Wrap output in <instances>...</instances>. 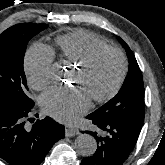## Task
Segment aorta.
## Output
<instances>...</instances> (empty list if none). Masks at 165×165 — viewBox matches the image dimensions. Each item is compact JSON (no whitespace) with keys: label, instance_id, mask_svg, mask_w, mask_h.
I'll use <instances>...</instances> for the list:
<instances>
[{"label":"aorta","instance_id":"1","mask_svg":"<svg viewBox=\"0 0 165 165\" xmlns=\"http://www.w3.org/2000/svg\"><path fill=\"white\" fill-rule=\"evenodd\" d=\"M60 72L59 68H54V76H58ZM75 149L78 154L82 156H91L97 149V142L95 138L89 134H80L77 136L75 142Z\"/></svg>","mask_w":165,"mask_h":165}]
</instances>
